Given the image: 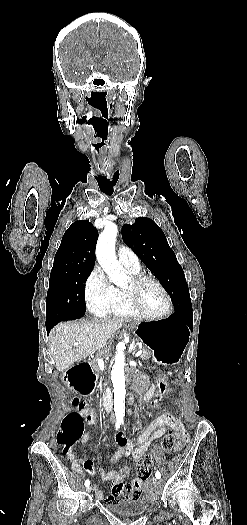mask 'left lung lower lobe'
<instances>
[{
    "label": "left lung lower lobe",
    "mask_w": 247,
    "mask_h": 525,
    "mask_svg": "<svg viewBox=\"0 0 247 525\" xmlns=\"http://www.w3.org/2000/svg\"><path fill=\"white\" fill-rule=\"evenodd\" d=\"M172 322L177 323H184L187 324L190 328L193 327V317H192V309H183L180 311H176L174 314L171 315V318L168 319Z\"/></svg>",
    "instance_id": "obj_1"
}]
</instances>
